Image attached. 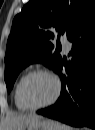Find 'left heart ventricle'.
I'll list each match as a JSON object with an SVG mask.
<instances>
[{"label":"left heart ventricle","instance_id":"1","mask_svg":"<svg viewBox=\"0 0 95 130\" xmlns=\"http://www.w3.org/2000/svg\"><path fill=\"white\" fill-rule=\"evenodd\" d=\"M55 93V84L52 79L43 74L32 76L23 88L25 100L34 106L49 101Z\"/></svg>","mask_w":95,"mask_h":130}]
</instances>
